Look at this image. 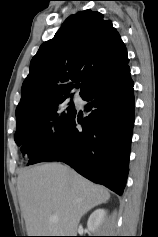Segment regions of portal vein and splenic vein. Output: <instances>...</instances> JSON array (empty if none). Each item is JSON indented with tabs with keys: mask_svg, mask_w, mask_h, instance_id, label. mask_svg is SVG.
<instances>
[{
	"mask_svg": "<svg viewBox=\"0 0 158 237\" xmlns=\"http://www.w3.org/2000/svg\"><path fill=\"white\" fill-rule=\"evenodd\" d=\"M50 220L53 221V222H57L59 220L58 216L57 215H53L50 217Z\"/></svg>",
	"mask_w": 158,
	"mask_h": 237,
	"instance_id": "18ae733b",
	"label": "portal vein and splenic vein"
}]
</instances>
